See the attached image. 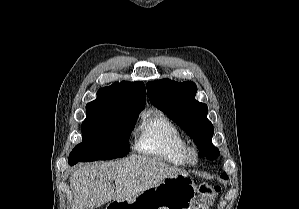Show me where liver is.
<instances>
[{
	"mask_svg": "<svg viewBox=\"0 0 299 209\" xmlns=\"http://www.w3.org/2000/svg\"><path fill=\"white\" fill-rule=\"evenodd\" d=\"M174 175L188 176V173L157 158L140 155L115 162L87 164L71 174L72 209H93L111 200L132 199ZM113 180L115 188L111 185Z\"/></svg>",
	"mask_w": 299,
	"mask_h": 209,
	"instance_id": "6515ba94",
	"label": "liver"
}]
</instances>
